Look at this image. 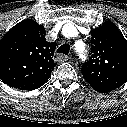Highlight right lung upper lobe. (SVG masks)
Returning <instances> with one entry per match:
<instances>
[{
    "instance_id": "right-lung-upper-lobe-1",
    "label": "right lung upper lobe",
    "mask_w": 127,
    "mask_h": 127,
    "mask_svg": "<svg viewBox=\"0 0 127 127\" xmlns=\"http://www.w3.org/2000/svg\"><path fill=\"white\" fill-rule=\"evenodd\" d=\"M55 48V42L46 41L42 25L21 21L0 40V79L22 90L41 87L56 65Z\"/></svg>"
}]
</instances>
